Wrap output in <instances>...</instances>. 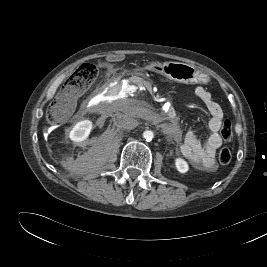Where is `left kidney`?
<instances>
[{
  "label": "left kidney",
  "instance_id": "1",
  "mask_svg": "<svg viewBox=\"0 0 267 267\" xmlns=\"http://www.w3.org/2000/svg\"><path fill=\"white\" fill-rule=\"evenodd\" d=\"M175 166L180 173H186L189 170L188 163L182 158H176Z\"/></svg>",
  "mask_w": 267,
  "mask_h": 267
}]
</instances>
